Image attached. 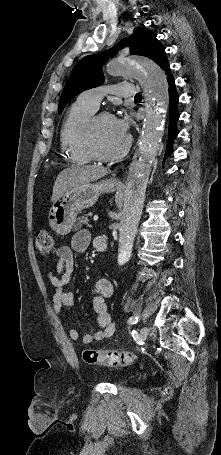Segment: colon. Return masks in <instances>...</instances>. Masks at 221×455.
<instances>
[{
    "mask_svg": "<svg viewBox=\"0 0 221 455\" xmlns=\"http://www.w3.org/2000/svg\"><path fill=\"white\" fill-rule=\"evenodd\" d=\"M36 248L41 255H49L54 252V240L49 232L41 230L36 236ZM136 356L127 351H99L85 349L83 360L90 365L97 366H127L135 361Z\"/></svg>",
    "mask_w": 221,
    "mask_h": 455,
    "instance_id": "5ec220e1",
    "label": "colon"
}]
</instances>
